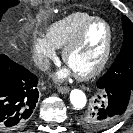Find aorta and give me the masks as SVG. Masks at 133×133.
Instances as JSON below:
<instances>
[{"label": "aorta", "instance_id": "aorta-1", "mask_svg": "<svg viewBox=\"0 0 133 133\" xmlns=\"http://www.w3.org/2000/svg\"><path fill=\"white\" fill-rule=\"evenodd\" d=\"M70 102L76 110L83 109L87 103L85 93L79 89H73L70 93Z\"/></svg>", "mask_w": 133, "mask_h": 133}]
</instances>
